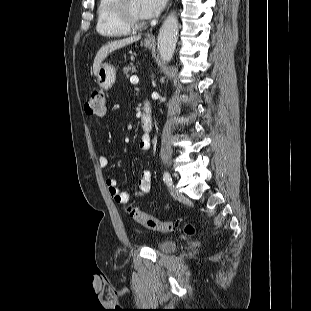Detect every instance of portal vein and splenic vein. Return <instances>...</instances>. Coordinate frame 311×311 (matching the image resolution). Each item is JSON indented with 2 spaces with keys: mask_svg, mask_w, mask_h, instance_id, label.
<instances>
[{
  "mask_svg": "<svg viewBox=\"0 0 311 311\" xmlns=\"http://www.w3.org/2000/svg\"><path fill=\"white\" fill-rule=\"evenodd\" d=\"M130 82H131L132 84H137V83L139 82V78H138L137 76H132V77L130 78Z\"/></svg>",
  "mask_w": 311,
  "mask_h": 311,
  "instance_id": "obj_1",
  "label": "portal vein and splenic vein"
}]
</instances>
